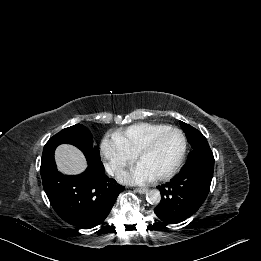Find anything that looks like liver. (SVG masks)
<instances>
[{"label":"liver","mask_w":261,"mask_h":261,"mask_svg":"<svg viewBox=\"0 0 261 261\" xmlns=\"http://www.w3.org/2000/svg\"><path fill=\"white\" fill-rule=\"evenodd\" d=\"M55 160L58 169L64 174H79L87 167L83 153L69 144H62L56 148Z\"/></svg>","instance_id":"6515ba94"}]
</instances>
